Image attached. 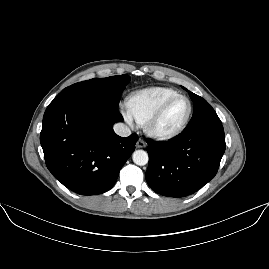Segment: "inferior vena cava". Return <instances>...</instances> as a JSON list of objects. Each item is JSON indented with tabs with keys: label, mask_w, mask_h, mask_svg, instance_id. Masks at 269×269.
<instances>
[{
	"label": "inferior vena cava",
	"mask_w": 269,
	"mask_h": 269,
	"mask_svg": "<svg viewBox=\"0 0 269 269\" xmlns=\"http://www.w3.org/2000/svg\"><path fill=\"white\" fill-rule=\"evenodd\" d=\"M114 131L117 135L121 137H128L131 134L130 129L122 123H117L114 125Z\"/></svg>",
	"instance_id": "inferior-vena-cava-1"
}]
</instances>
